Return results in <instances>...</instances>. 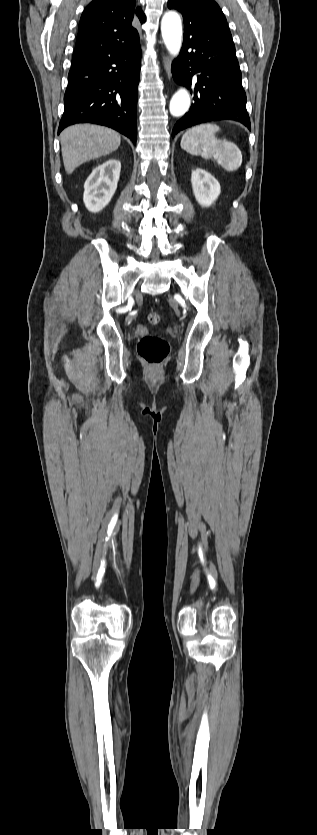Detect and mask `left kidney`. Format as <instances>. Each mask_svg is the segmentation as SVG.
Masks as SVG:
<instances>
[{"label": "left kidney", "mask_w": 317, "mask_h": 835, "mask_svg": "<svg viewBox=\"0 0 317 835\" xmlns=\"http://www.w3.org/2000/svg\"><path fill=\"white\" fill-rule=\"evenodd\" d=\"M191 183L195 199L202 207L211 206L221 192L219 182L201 168L192 171Z\"/></svg>", "instance_id": "1"}]
</instances>
